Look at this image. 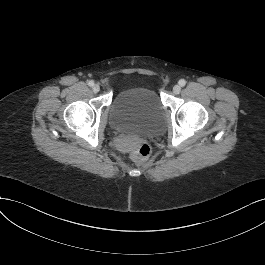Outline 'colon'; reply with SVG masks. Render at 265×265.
I'll use <instances>...</instances> for the list:
<instances>
[{"label": "colon", "instance_id": "colon-1", "mask_svg": "<svg viewBox=\"0 0 265 265\" xmlns=\"http://www.w3.org/2000/svg\"><path fill=\"white\" fill-rule=\"evenodd\" d=\"M151 147L148 144H140L132 151V156L136 161H143L151 155Z\"/></svg>", "mask_w": 265, "mask_h": 265}]
</instances>
